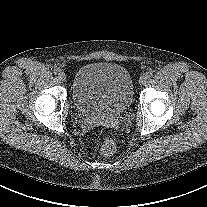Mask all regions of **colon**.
I'll list each match as a JSON object with an SVG mask.
<instances>
[{"label": "colon", "mask_w": 207, "mask_h": 207, "mask_svg": "<svg viewBox=\"0 0 207 207\" xmlns=\"http://www.w3.org/2000/svg\"><path fill=\"white\" fill-rule=\"evenodd\" d=\"M100 133L102 134L103 131L100 130ZM115 150H116L115 142L111 138L106 137L101 146L100 153L105 157H109L114 154Z\"/></svg>", "instance_id": "obj_1"}]
</instances>
